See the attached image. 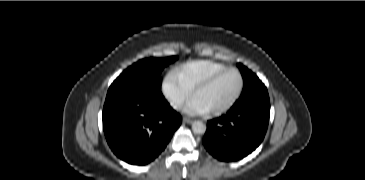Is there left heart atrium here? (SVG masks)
<instances>
[{"label": "left heart atrium", "mask_w": 365, "mask_h": 180, "mask_svg": "<svg viewBox=\"0 0 365 180\" xmlns=\"http://www.w3.org/2000/svg\"><path fill=\"white\" fill-rule=\"evenodd\" d=\"M186 111L191 114H204L207 110L199 104L195 99H193L188 106L186 107Z\"/></svg>", "instance_id": "39dd6f15"}]
</instances>
